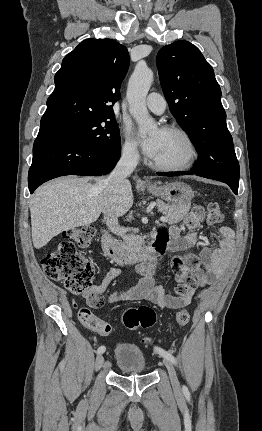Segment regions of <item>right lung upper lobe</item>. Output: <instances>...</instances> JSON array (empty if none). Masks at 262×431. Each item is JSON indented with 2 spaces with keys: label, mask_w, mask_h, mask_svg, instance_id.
<instances>
[{
  "label": "right lung upper lobe",
  "mask_w": 262,
  "mask_h": 431,
  "mask_svg": "<svg viewBox=\"0 0 262 431\" xmlns=\"http://www.w3.org/2000/svg\"><path fill=\"white\" fill-rule=\"evenodd\" d=\"M127 48L112 39H86L62 61L41 126L94 116H114L129 67Z\"/></svg>",
  "instance_id": "cb5924a9"
}]
</instances>
